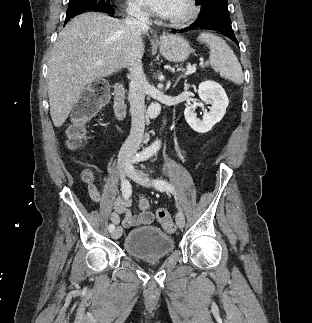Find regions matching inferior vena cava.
Listing matches in <instances>:
<instances>
[{
	"label": "inferior vena cava",
	"mask_w": 312,
	"mask_h": 323,
	"mask_svg": "<svg viewBox=\"0 0 312 323\" xmlns=\"http://www.w3.org/2000/svg\"><path fill=\"white\" fill-rule=\"evenodd\" d=\"M128 34L133 36L134 40V56L129 64L130 84H129V102L130 112L132 116V124L130 134L125 140L124 148L129 150H138L144 136L145 116L144 102L147 88V80L143 72V64L140 60L139 52L142 48V34H146L150 24L148 14L141 12L140 8L131 10L129 16L123 22Z\"/></svg>",
	"instance_id": "obj_1"
}]
</instances>
